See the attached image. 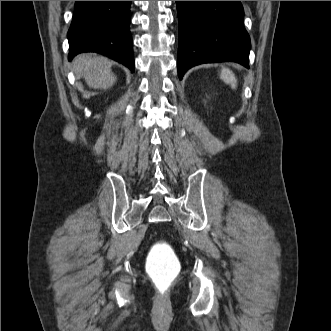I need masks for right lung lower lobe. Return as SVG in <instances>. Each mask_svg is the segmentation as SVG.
<instances>
[{"instance_id": "obj_1", "label": "right lung lower lobe", "mask_w": 331, "mask_h": 331, "mask_svg": "<svg viewBox=\"0 0 331 331\" xmlns=\"http://www.w3.org/2000/svg\"><path fill=\"white\" fill-rule=\"evenodd\" d=\"M130 5L131 1H76L68 31L69 61L82 52H98L134 72Z\"/></svg>"}]
</instances>
